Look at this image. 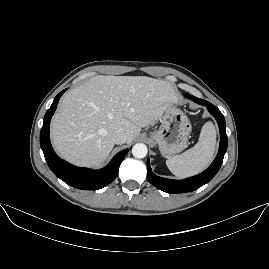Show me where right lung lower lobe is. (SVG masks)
I'll list each match as a JSON object with an SVG mask.
<instances>
[{
  "mask_svg": "<svg viewBox=\"0 0 269 269\" xmlns=\"http://www.w3.org/2000/svg\"><path fill=\"white\" fill-rule=\"evenodd\" d=\"M67 89L61 91L54 99L51 107L47 110L43 126L40 132V145L46 162L52 172L65 183L72 187L83 190H97L110 184L117 176L119 166L126 156L128 149L117 154L105 168L91 170L75 167L60 159L54 152L49 137V125L52 115L56 110L58 101Z\"/></svg>",
  "mask_w": 269,
  "mask_h": 269,
  "instance_id": "right-lung-lower-lobe-1",
  "label": "right lung lower lobe"
}]
</instances>
